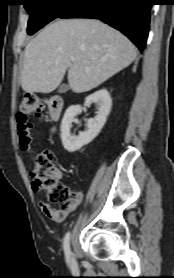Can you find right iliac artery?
<instances>
[{
	"label": "right iliac artery",
	"mask_w": 174,
	"mask_h": 278,
	"mask_svg": "<svg viewBox=\"0 0 174 278\" xmlns=\"http://www.w3.org/2000/svg\"><path fill=\"white\" fill-rule=\"evenodd\" d=\"M63 248H64V253H65L66 259H69L70 255H71V251H70V232H68L64 237Z\"/></svg>",
	"instance_id": "82829eb1"
}]
</instances>
